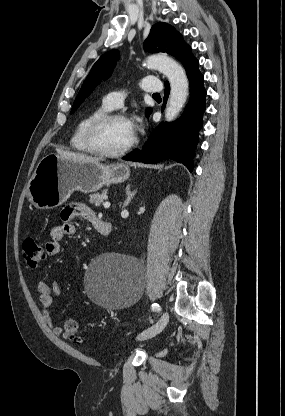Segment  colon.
I'll list each match as a JSON object with an SVG mask.
<instances>
[{"label": "colon", "mask_w": 285, "mask_h": 416, "mask_svg": "<svg viewBox=\"0 0 285 416\" xmlns=\"http://www.w3.org/2000/svg\"><path fill=\"white\" fill-rule=\"evenodd\" d=\"M22 255L31 268L39 266L44 257L42 247L32 238H26L22 244ZM64 335L70 341L80 344L83 341L79 324L75 319H67L64 323Z\"/></svg>", "instance_id": "colon-1"}]
</instances>
